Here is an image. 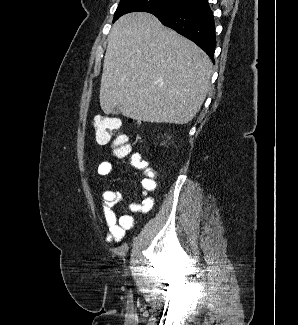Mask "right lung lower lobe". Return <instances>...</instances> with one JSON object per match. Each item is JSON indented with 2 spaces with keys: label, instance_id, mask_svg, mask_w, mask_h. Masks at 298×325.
<instances>
[{
  "label": "right lung lower lobe",
  "instance_id": "1",
  "mask_svg": "<svg viewBox=\"0 0 298 325\" xmlns=\"http://www.w3.org/2000/svg\"><path fill=\"white\" fill-rule=\"evenodd\" d=\"M154 15L163 25L195 42L214 62L216 47L214 17L208 0H193L175 11Z\"/></svg>",
  "mask_w": 298,
  "mask_h": 325
}]
</instances>
